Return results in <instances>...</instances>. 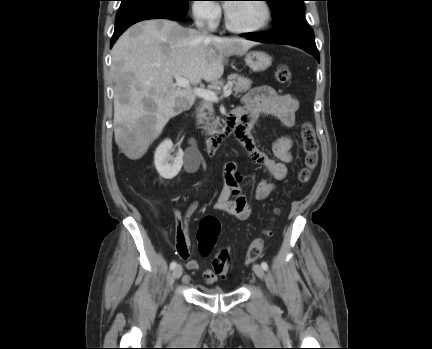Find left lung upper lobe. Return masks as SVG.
<instances>
[{
	"mask_svg": "<svg viewBox=\"0 0 432 349\" xmlns=\"http://www.w3.org/2000/svg\"><path fill=\"white\" fill-rule=\"evenodd\" d=\"M268 1L277 27L309 28L304 19V0H266Z\"/></svg>",
	"mask_w": 432,
	"mask_h": 349,
	"instance_id": "obj_1",
	"label": "left lung upper lobe"
}]
</instances>
